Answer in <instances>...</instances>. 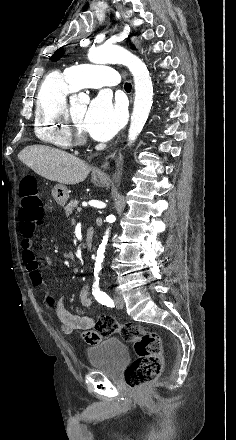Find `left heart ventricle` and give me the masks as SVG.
<instances>
[{
  "label": "left heart ventricle",
  "mask_w": 236,
  "mask_h": 440,
  "mask_svg": "<svg viewBox=\"0 0 236 440\" xmlns=\"http://www.w3.org/2000/svg\"><path fill=\"white\" fill-rule=\"evenodd\" d=\"M71 110L74 116V119L78 125V127L85 132L84 127V116L87 110V105L84 103H74L71 105Z\"/></svg>",
  "instance_id": "b2bd125f"
}]
</instances>
